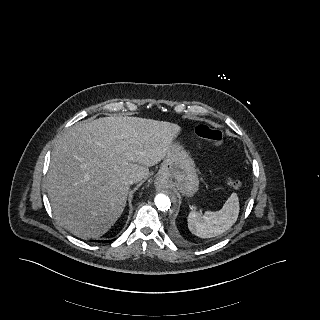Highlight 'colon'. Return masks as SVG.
Here are the masks:
<instances>
[{
	"instance_id": "obj_1",
	"label": "colon",
	"mask_w": 320,
	"mask_h": 320,
	"mask_svg": "<svg viewBox=\"0 0 320 320\" xmlns=\"http://www.w3.org/2000/svg\"><path fill=\"white\" fill-rule=\"evenodd\" d=\"M195 134L214 146H219L223 140V133L220 129L213 128L205 124L197 125L195 127ZM226 183L228 186L233 188H239L241 186V182L233 178H227Z\"/></svg>"
}]
</instances>
